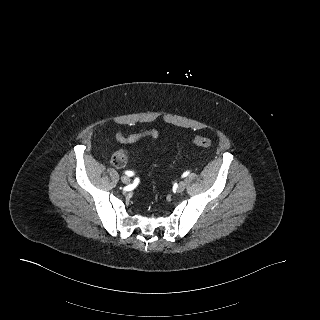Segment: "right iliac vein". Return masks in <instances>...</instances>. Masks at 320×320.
<instances>
[{
  "label": "right iliac vein",
  "mask_w": 320,
  "mask_h": 320,
  "mask_svg": "<svg viewBox=\"0 0 320 320\" xmlns=\"http://www.w3.org/2000/svg\"><path fill=\"white\" fill-rule=\"evenodd\" d=\"M121 180H122V182L125 183V184H128V183L131 182L130 177H128V176H126V175L122 176V177H121Z\"/></svg>",
  "instance_id": "1"
}]
</instances>
